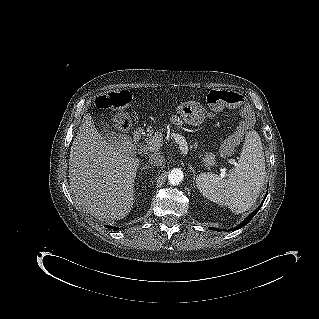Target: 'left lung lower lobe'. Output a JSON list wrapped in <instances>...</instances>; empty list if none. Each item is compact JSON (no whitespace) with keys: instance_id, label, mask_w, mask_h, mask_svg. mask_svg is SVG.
<instances>
[{"instance_id":"0a47b994","label":"left lung lower lobe","mask_w":319,"mask_h":319,"mask_svg":"<svg viewBox=\"0 0 319 319\" xmlns=\"http://www.w3.org/2000/svg\"><path fill=\"white\" fill-rule=\"evenodd\" d=\"M266 196H267V194H266ZM265 200V199H264ZM264 200H263V202H264ZM263 202H262V204H263ZM262 204L258 207V209H256L251 215H249L245 220H244V222H242L240 225H238V226H236L235 228H232V229H230V230H228V231H232V230H237V229H239V228H242L243 226H245L254 216H255V214L258 212V210L260 209V207L262 206ZM210 229H212V230H218V229H216V228H210Z\"/></svg>"}]
</instances>
